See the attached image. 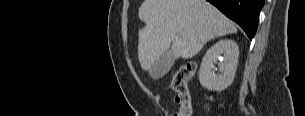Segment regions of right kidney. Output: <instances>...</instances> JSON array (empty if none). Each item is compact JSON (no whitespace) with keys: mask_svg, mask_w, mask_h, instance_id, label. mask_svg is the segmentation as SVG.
Wrapping results in <instances>:
<instances>
[{"mask_svg":"<svg viewBox=\"0 0 305 116\" xmlns=\"http://www.w3.org/2000/svg\"><path fill=\"white\" fill-rule=\"evenodd\" d=\"M238 56L239 48L235 41L230 39L218 41L207 50L202 59L199 70L200 84L211 91L225 90L234 80ZM216 63L220 74H215Z\"/></svg>","mask_w":305,"mask_h":116,"instance_id":"obj_1","label":"right kidney"}]
</instances>
